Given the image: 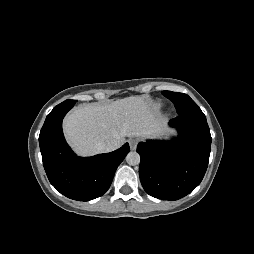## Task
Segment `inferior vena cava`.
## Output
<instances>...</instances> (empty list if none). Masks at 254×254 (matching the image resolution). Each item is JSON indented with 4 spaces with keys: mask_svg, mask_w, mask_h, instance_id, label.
<instances>
[{
    "mask_svg": "<svg viewBox=\"0 0 254 254\" xmlns=\"http://www.w3.org/2000/svg\"><path fill=\"white\" fill-rule=\"evenodd\" d=\"M121 146V142L118 140H111L108 143L101 145L99 149L102 152H111L118 149Z\"/></svg>",
    "mask_w": 254,
    "mask_h": 254,
    "instance_id": "1",
    "label": "inferior vena cava"
}]
</instances>
